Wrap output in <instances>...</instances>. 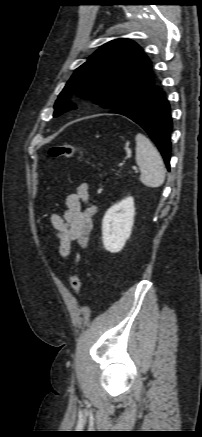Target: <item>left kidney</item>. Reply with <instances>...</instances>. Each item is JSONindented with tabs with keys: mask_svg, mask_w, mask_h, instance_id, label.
Returning a JSON list of instances; mask_svg holds the SVG:
<instances>
[{
	"mask_svg": "<svg viewBox=\"0 0 202 437\" xmlns=\"http://www.w3.org/2000/svg\"><path fill=\"white\" fill-rule=\"evenodd\" d=\"M134 216L133 197L125 198L108 209L102 221V240L107 251L117 253L123 249L131 235Z\"/></svg>",
	"mask_w": 202,
	"mask_h": 437,
	"instance_id": "1",
	"label": "left kidney"
}]
</instances>
